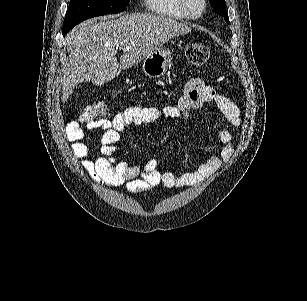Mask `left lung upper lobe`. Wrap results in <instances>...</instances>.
Returning a JSON list of instances; mask_svg holds the SVG:
<instances>
[{
  "mask_svg": "<svg viewBox=\"0 0 307 301\" xmlns=\"http://www.w3.org/2000/svg\"><path fill=\"white\" fill-rule=\"evenodd\" d=\"M209 2L213 7L214 11L217 14L224 16L226 22L229 23L228 15L225 13V0H209Z\"/></svg>",
  "mask_w": 307,
  "mask_h": 301,
  "instance_id": "left-lung-upper-lobe-1",
  "label": "left lung upper lobe"
}]
</instances>
